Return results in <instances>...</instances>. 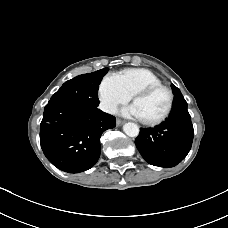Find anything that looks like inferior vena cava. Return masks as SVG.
Wrapping results in <instances>:
<instances>
[{
  "instance_id": "602c4592",
  "label": "inferior vena cava",
  "mask_w": 228,
  "mask_h": 228,
  "mask_svg": "<svg viewBox=\"0 0 228 228\" xmlns=\"http://www.w3.org/2000/svg\"><path fill=\"white\" fill-rule=\"evenodd\" d=\"M100 109L108 113H112V114L116 113V107L113 105L102 103L100 105Z\"/></svg>"
}]
</instances>
